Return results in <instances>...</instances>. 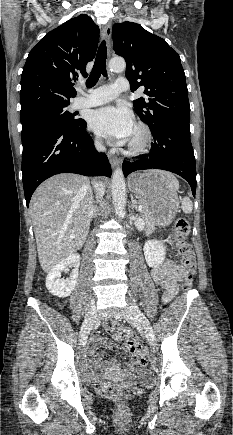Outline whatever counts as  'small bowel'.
<instances>
[{
	"label": "small bowel",
	"instance_id": "small-bowel-1",
	"mask_svg": "<svg viewBox=\"0 0 233 435\" xmlns=\"http://www.w3.org/2000/svg\"><path fill=\"white\" fill-rule=\"evenodd\" d=\"M190 273L183 267L173 261L166 260L161 267L152 270L151 276L153 282L163 288L162 301L164 303L170 302L176 295L178 290V282L188 278ZM121 333H117L113 336H98L96 337L93 346L85 356V364L87 373L93 375L95 373H119L129 372L133 375L140 376L145 370V359L134 352L123 347L125 351L131 352L132 360L128 364H121L114 359H108L103 363H99L98 360L103 356L100 351L101 347L105 346L112 352H117V347L114 344L113 339L121 338ZM135 340L138 342L137 338Z\"/></svg>",
	"mask_w": 233,
	"mask_h": 435
}]
</instances>
